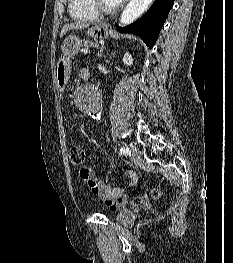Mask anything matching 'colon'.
<instances>
[{"instance_id": "colon-1", "label": "colon", "mask_w": 233, "mask_h": 263, "mask_svg": "<svg viewBox=\"0 0 233 263\" xmlns=\"http://www.w3.org/2000/svg\"><path fill=\"white\" fill-rule=\"evenodd\" d=\"M86 160L85 150L81 147H71L69 149V161L74 167H81L80 171L83 176H88V171L86 167H84V163ZM163 196V190L160 188H154L141 196H138L134 199H130L126 194L121 195V200L131 206H138L143 204L147 199H160Z\"/></svg>"}]
</instances>
